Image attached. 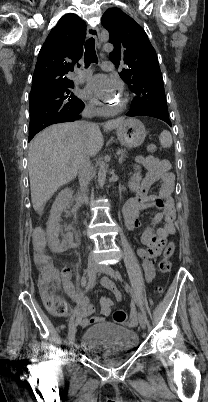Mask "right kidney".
Here are the masks:
<instances>
[{
	"label": "right kidney",
	"mask_w": 208,
	"mask_h": 402,
	"mask_svg": "<svg viewBox=\"0 0 208 402\" xmlns=\"http://www.w3.org/2000/svg\"><path fill=\"white\" fill-rule=\"evenodd\" d=\"M72 200L71 188H65L58 194L50 212L49 220L47 222V240L48 246L52 252H66L68 250V244L72 242V234H67L65 240L60 242L58 236L61 230L59 222H61V214L65 210H69Z\"/></svg>",
	"instance_id": "ca27d5eb"
}]
</instances>
